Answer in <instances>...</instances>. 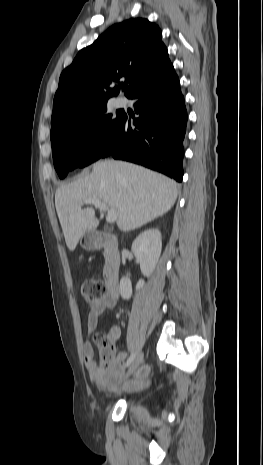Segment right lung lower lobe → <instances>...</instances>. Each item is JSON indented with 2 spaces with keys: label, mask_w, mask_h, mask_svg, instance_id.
<instances>
[{
  "label": "right lung lower lobe",
  "mask_w": 263,
  "mask_h": 465,
  "mask_svg": "<svg viewBox=\"0 0 263 465\" xmlns=\"http://www.w3.org/2000/svg\"><path fill=\"white\" fill-rule=\"evenodd\" d=\"M128 98L135 100L139 117L122 115L101 157L138 163L181 182L187 110L173 65Z\"/></svg>",
  "instance_id": "right-lung-lower-lobe-1"
}]
</instances>
